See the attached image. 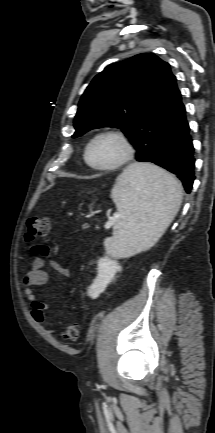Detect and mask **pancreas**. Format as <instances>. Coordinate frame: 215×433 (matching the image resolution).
<instances>
[{
	"label": "pancreas",
	"instance_id": "cf45deb5",
	"mask_svg": "<svg viewBox=\"0 0 215 433\" xmlns=\"http://www.w3.org/2000/svg\"><path fill=\"white\" fill-rule=\"evenodd\" d=\"M84 228H88V225H87V224H85V225H84Z\"/></svg>",
	"mask_w": 215,
	"mask_h": 433
}]
</instances>
